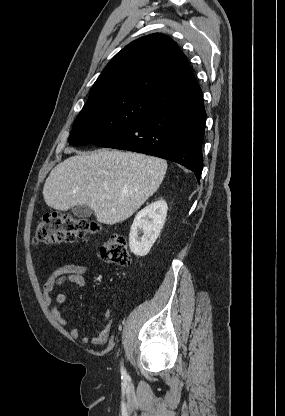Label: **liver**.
Returning <instances> with one entry per match:
<instances>
[{"mask_svg": "<svg viewBox=\"0 0 285 416\" xmlns=\"http://www.w3.org/2000/svg\"><path fill=\"white\" fill-rule=\"evenodd\" d=\"M77 152L66 148L65 154ZM161 158L102 148L67 158L51 170L43 188L53 210L67 212L89 206L100 224H118L130 218L157 192L166 174Z\"/></svg>", "mask_w": 285, "mask_h": 416, "instance_id": "liver-1", "label": "liver"}]
</instances>
